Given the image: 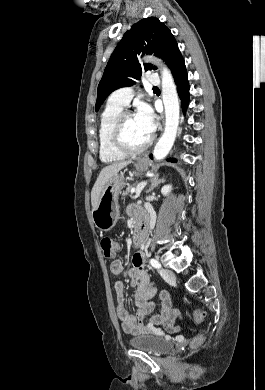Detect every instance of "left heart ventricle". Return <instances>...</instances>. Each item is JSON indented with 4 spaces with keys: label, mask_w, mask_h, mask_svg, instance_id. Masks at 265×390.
<instances>
[{
    "label": "left heart ventricle",
    "mask_w": 265,
    "mask_h": 390,
    "mask_svg": "<svg viewBox=\"0 0 265 390\" xmlns=\"http://www.w3.org/2000/svg\"><path fill=\"white\" fill-rule=\"evenodd\" d=\"M124 139L132 148L142 146L149 138L141 130L135 116H130L124 123Z\"/></svg>",
    "instance_id": "obj_1"
}]
</instances>
